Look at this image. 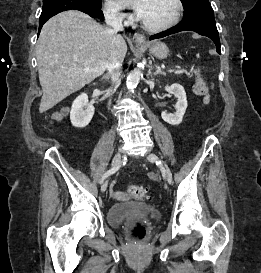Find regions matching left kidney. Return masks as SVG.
I'll list each match as a JSON object with an SVG mask.
<instances>
[{
    "instance_id": "obj_1",
    "label": "left kidney",
    "mask_w": 261,
    "mask_h": 273,
    "mask_svg": "<svg viewBox=\"0 0 261 273\" xmlns=\"http://www.w3.org/2000/svg\"><path fill=\"white\" fill-rule=\"evenodd\" d=\"M165 90L175 95L177 102L175 104L176 112L174 114H168L165 111L161 113L162 119L170 125H179L182 122L183 116L187 108V98L184 88L177 83L171 86H166Z\"/></svg>"
}]
</instances>
